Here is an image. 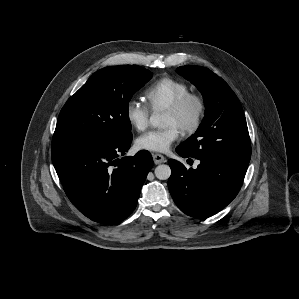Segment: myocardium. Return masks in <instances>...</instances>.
Returning a JSON list of instances; mask_svg holds the SVG:
<instances>
[{"mask_svg": "<svg viewBox=\"0 0 299 299\" xmlns=\"http://www.w3.org/2000/svg\"><path fill=\"white\" fill-rule=\"evenodd\" d=\"M192 104L195 106L194 114L190 119L181 121L179 125L185 134H193L200 128L207 108L205 97L198 92H188L165 109V112L182 118Z\"/></svg>", "mask_w": 299, "mask_h": 299, "instance_id": "1", "label": "myocardium"}]
</instances>
